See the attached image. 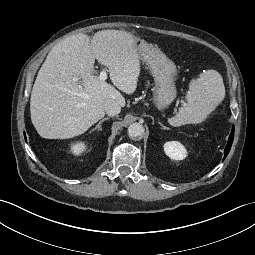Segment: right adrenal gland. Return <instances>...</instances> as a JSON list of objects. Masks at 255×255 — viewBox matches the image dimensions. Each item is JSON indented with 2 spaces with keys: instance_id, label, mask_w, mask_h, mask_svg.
Instances as JSON below:
<instances>
[{
  "instance_id": "2a0ac1e0",
  "label": "right adrenal gland",
  "mask_w": 255,
  "mask_h": 255,
  "mask_svg": "<svg viewBox=\"0 0 255 255\" xmlns=\"http://www.w3.org/2000/svg\"><path fill=\"white\" fill-rule=\"evenodd\" d=\"M109 118H103L102 120L99 121V123L95 126V128L92 130V131H95V130H102L101 128V124L104 122V121H107Z\"/></svg>"
}]
</instances>
